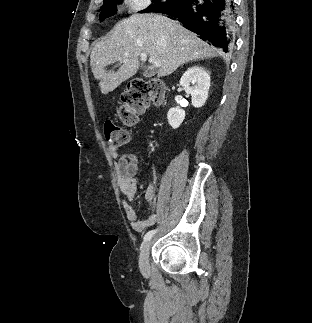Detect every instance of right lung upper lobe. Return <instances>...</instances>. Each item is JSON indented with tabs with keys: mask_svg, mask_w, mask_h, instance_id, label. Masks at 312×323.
<instances>
[{
	"mask_svg": "<svg viewBox=\"0 0 312 323\" xmlns=\"http://www.w3.org/2000/svg\"><path fill=\"white\" fill-rule=\"evenodd\" d=\"M112 0H104V4L105 3H108V2H111ZM235 4V3H234ZM234 16H235V13H234Z\"/></svg>",
	"mask_w": 312,
	"mask_h": 323,
	"instance_id": "cb5924a9",
	"label": "right lung upper lobe"
}]
</instances>
